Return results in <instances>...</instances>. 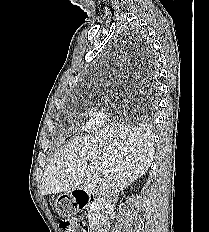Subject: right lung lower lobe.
<instances>
[{"label":"right lung lower lobe","instance_id":"obj_1","mask_svg":"<svg viewBox=\"0 0 209 232\" xmlns=\"http://www.w3.org/2000/svg\"><path fill=\"white\" fill-rule=\"evenodd\" d=\"M141 56L144 59V61L148 63L149 66L153 65L154 58L150 49L146 48L145 50H143ZM150 75L152 77V73Z\"/></svg>","mask_w":209,"mask_h":232}]
</instances>
